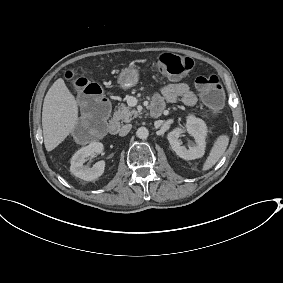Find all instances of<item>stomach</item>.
Masks as SVG:
<instances>
[{
  "label": "stomach",
  "mask_w": 283,
  "mask_h": 283,
  "mask_svg": "<svg viewBox=\"0 0 283 283\" xmlns=\"http://www.w3.org/2000/svg\"><path fill=\"white\" fill-rule=\"evenodd\" d=\"M140 79V67L128 66L123 68L118 77L117 83L122 90H128L135 87Z\"/></svg>",
  "instance_id": "1"
}]
</instances>
